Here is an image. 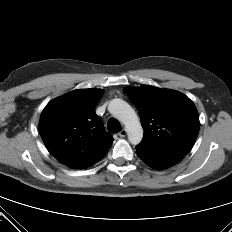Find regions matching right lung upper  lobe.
I'll use <instances>...</instances> for the list:
<instances>
[{"mask_svg": "<svg viewBox=\"0 0 232 232\" xmlns=\"http://www.w3.org/2000/svg\"><path fill=\"white\" fill-rule=\"evenodd\" d=\"M103 93L93 88L71 91L49 102L41 114L39 131L45 146L70 168L95 164L113 142L95 113Z\"/></svg>", "mask_w": 232, "mask_h": 232, "instance_id": "cb5924a9", "label": "right lung upper lobe"}]
</instances>
